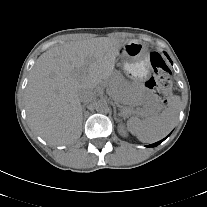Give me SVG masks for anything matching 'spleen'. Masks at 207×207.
<instances>
[{
    "mask_svg": "<svg viewBox=\"0 0 207 207\" xmlns=\"http://www.w3.org/2000/svg\"><path fill=\"white\" fill-rule=\"evenodd\" d=\"M180 111V97L172 96L165 110L144 120L131 117L127 121L128 131L143 143H153L165 137L175 126Z\"/></svg>",
    "mask_w": 207,
    "mask_h": 207,
    "instance_id": "spleen-1",
    "label": "spleen"
}]
</instances>
